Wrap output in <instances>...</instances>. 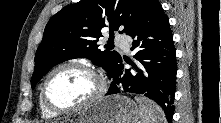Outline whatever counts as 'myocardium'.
<instances>
[{"label": "myocardium", "instance_id": "1", "mask_svg": "<svg viewBox=\"0 0 221 123\" xmlns=\"http://www.w3.org/2000/svg\"><path fill=\"white\" fill-rule=\"evenodd\" d=\"M65 68H78L91 74L98 82V88L95 94L92 97H90L88 100L80 104L74 105V106L59 107L53 104L50 101L48 94H47L48 84L50 82V79L55 73ZM106 91H107V83H106L104 76L98 70H96L92 65L86 62H81V61H68V62H64V63L57 65L46 75L41 85L40 96H41L43 104L50 111L57 113V114H62V113H71V112L80 111V110L93 106L104 97Z\"/></svg>", "mask_w": 221, "mask_h": 123}]
</instances>
